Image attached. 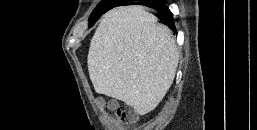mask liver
Masks as SVG:
<instances>
[{
    "label": "liver",
    "mask_w": 257,
    "mask_h": 130,
    "mask_svg": "<svg viewBox=\"0 0 257 130\" xmlns=\"http://www.w3.org/2000/svg\"><path fill=\"white\" fill-rule=\"evenodd\" d=\"M178 62L169 28L137 5L114 8L104 15L87 59L95 91L123 101L141 115L164 98Z\"/></svg>",
    "instance_id": "obj_1"
}]
</instances>
